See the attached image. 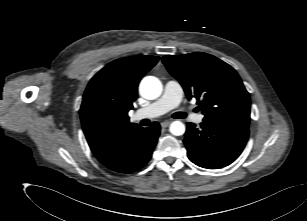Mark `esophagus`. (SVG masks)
I'll return each mask as SVG.
<instances>
[{
  "label": "esophagus",
  "instance_id": "esophagus-1",
  "mask_svg": "<svg viewBox=\"0 0 307 221\" xmlns=\"http://www.w3.org/2000/svg\"><path fill=\"white\" fill-rule=\"evenodd\" d=\"M170 123H171V121H163V122H161V127L166 128V127L169 126Z\"/></svg>",
  "mask_w": 307,
  "mask_h": 221
}]
</instances>
